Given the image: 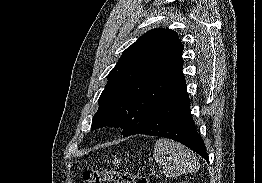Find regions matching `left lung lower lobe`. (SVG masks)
Segmentation results:
<instances>
[{
    "mask_svg": "<svg viewBox=\"0 0 262 183\" xmlns=\"http://www.w3.org/2000/svg\"><path fill=\"white\" fill-rule=\"evenodd\" d=\"M187 96L186 81L153 113L152 117L135 134H145L170 138L178 141L202 156L209 158L204 142L196 131Z\"/></svg>",
    "mask_w": 262,
    "mask_h": 183,
    "instance_id": "left-lung-lower-lobe-1",
    "label": "left lung lower lobe"
}]
</instances>
